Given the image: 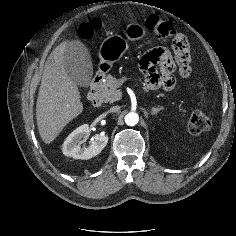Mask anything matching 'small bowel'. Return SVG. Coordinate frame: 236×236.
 <instances>
[{
    "label": "small bowel",
    "instance_id": "c3829d8e",
    "mask_svg": "<svg viewBox=\"0 0 236 236\" xmlns=\"http://www.w3.org/2000/svg\"><path fill=\"white\" fill-rule=\"evenodd\" d=\"M190 61V49L185 59L176 55L175 60L165 47H157L147 52L140 60V69L146 77V88L172 90L176 82L175 71L182 78H187L191 72Z\"/></svg>",
    "mask_w": 236,
    "mask_h": 236
}]
</instances>
